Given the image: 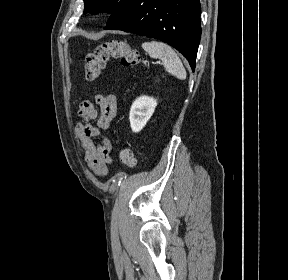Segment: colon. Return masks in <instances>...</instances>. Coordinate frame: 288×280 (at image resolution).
I'll return each instance as SVG.
<instances>
[{"mask_svg": "<svg viewBox=\"0 0 288 280\" xmlns=\"http://www.w3.org/2000/svg\"><path fill=\"white\" fill-rule=\"evenodd\" d=\"M120 59L124 66H135L140 63V55L128 42L121 39H112L100 44L93 52L87 55L84 65V77L87 81L99 78L107 62ZM120 161L129 168H134L137 160L130 149L119 151Z\"/></svg>", "mask_w": 288, "mask_h": 280, "instance_id": "1", "label": "colon"}]
</instances>
